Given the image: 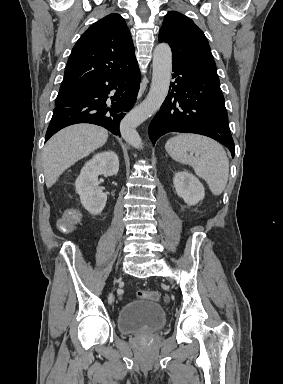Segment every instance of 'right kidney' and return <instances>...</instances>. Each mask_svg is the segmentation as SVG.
<instances>
[{"label": "right kidney", "mask_w": 283, "mask_h": 384, "mask_svg": "<svg viewBox=\"0 0 283 384\" xmlns=\"http://www.w3.org/2000/svg\"><path fill=\"white\" fill-rule=\"evenodd\" d=\"M119 170V160L115 152H102L96 154L92 160H89L81 170L75 182L77 194L80 196L81 204L85 210L98 216L105 208L107 194H103L98 184V176H116Z\"/></svg>", "instance_id": "right-kidney-1"}]
</instances>
